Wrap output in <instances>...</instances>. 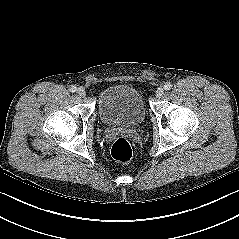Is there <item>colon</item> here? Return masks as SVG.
<instances>
[{
	"label": "colon",
	"instance_id": "5ec220e1",
	"mask_svg": "<svg viewBox=\"0 0 239 239\" xmlns=\"http://www.w3.org/2000/svg\"><path fill=\"white\" fill-rule=\"evenodd\" d=\"M132 147L124 137L117 138L111 146L112 157L119 162H128L132 157Z\"/></svg>",
	"mask_w": 239,
	"mask_h": 239
}]
</instances>
